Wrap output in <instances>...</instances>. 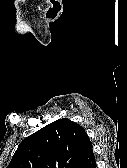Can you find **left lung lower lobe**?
Masks as SVG:
<instances>
[{
    "label": "left lung lower lobe",
    "mask_w": 127,
    "mask_h": 168,
    "mask_svg": "<svg viewBox=\"0 0 127 168\" xmlns=\"http://www.w3.org/2000/svg\"><path fill=\"white\" fill-rule=\"evenodd\" d=\"M96 161L92 149V143L88 140L81 152V156L76 168H96Z\"/></svg>",
    "instance_id": "0a47b994"
}]
</instances>
